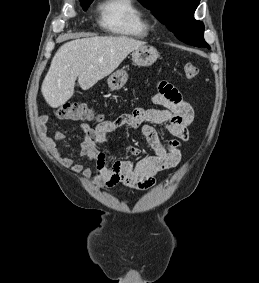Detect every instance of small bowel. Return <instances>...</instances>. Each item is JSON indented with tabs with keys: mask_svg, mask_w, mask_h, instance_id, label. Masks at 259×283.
<instances>
[{
	"mask_svg": "<svg viewBox=\"0 0 259 283\" xmlns=\"http://www.w3.org/2000/svg\"><path fill=\"white\" fill-rule=\"evenodd\" d=\"M154 105L162 108L137 107L132 113L100 122L96 127L83 123L80 130L83 139L80 143V155L88 158L91 166L75 162L71 157L56 154L63 166L84 178L95 180L108 188L119 185L133 189H148L155 182V176L162 170L177 166L182 158L181 141L189 138L188 127L194 119L191 106L184 101L178 90L167 82H161L158 92L151 97ZM49 117L43 115L38 120L41 131L46 129ZM128 126L139 129L143 138L154 151V155L141 158L136 163L130 160L113 159L107 165V154L101 150L108 143V136L116 129ZM163 130L173 138H162ZM65 139V134L58 131L54 135L55 142ZM122 149L133 156H139L141 149L137 146H124Z\"/></svg>",
	"mask_w": 259,
	"mask_h": 283,
	"instance_id": "obj_1",
	"label": "small bowel"
}]
</instances>
